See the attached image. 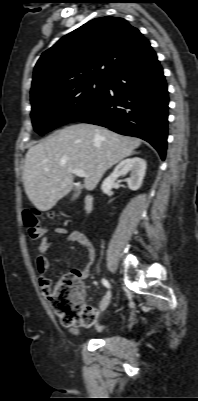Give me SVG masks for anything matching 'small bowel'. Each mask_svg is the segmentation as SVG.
I'll return each instance as SVG.
<instances>
[{
  "mask_svg": "<svg viewBox=\"0 0 198 401\" xmlns=\"http://www.w3.org/2000/svg\"><path fill=\"white\" fill-rule=\"evenodd\" d=\"M53 234L63 236L68 242L79 245L87 254L88 263L82 267L77 273L81 278H86L90 275L91 265L95 259V249L89 237L79 230L67 231L65 228L57 227L53 229ZM53 244L51 238H44L37 247V256L35 259V266L38 273L39 285L43 292L48 293L51 289V282L46 277V271L49 267V260L47 258V251ZM107 305V300L102 301L101 305L92 309L96 315L100 310H103Z\"/></svg>",
  "mask_w": 198,
  "mask_h": 401,
  "instance_id": "obj_1",
  "label": "small bowel"
}]
</instances>
